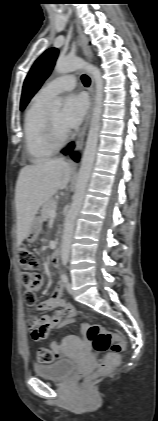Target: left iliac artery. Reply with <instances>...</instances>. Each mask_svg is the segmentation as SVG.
Returning a JSON list of instances; mask_svg holds the SVG:
<instances>
[{"label":"left iliac artery","instance_id":"left-iliac-artery-1","mask_svg":"<svg viewBox=\"0 0 158 421\" xmlns=\"http://www.w3.org/2000/svg\"><path fill=\"white\" fill-rule=\"evenodd\" d=\"M63 265L66 266L67 265V261H64L63 262ZM61 281L63 283H67L68 282V277H67L66 273H62V275H61Z\"/></svg>","mask_w":158,"mask_h":421}]
</instances>
